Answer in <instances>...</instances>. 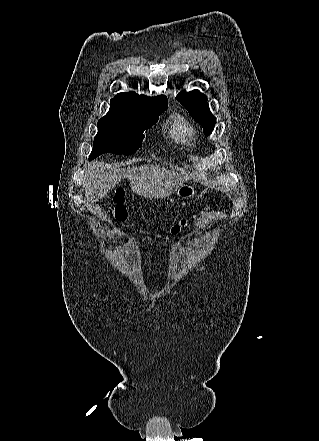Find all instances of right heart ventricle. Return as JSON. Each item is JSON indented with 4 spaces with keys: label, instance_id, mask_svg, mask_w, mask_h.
I'll return each mask as SVG.
<instances>
[{
    "label": "right heart ventricle",
    "instance_id": "right-heart-ventricle-1",
    "mask_svg": "<svg viewBox=\"0 0 319 441\" xmlns=\"http://www.w3.org/2000/svg\"><path fill=\"white\" fill-rule=\"evenodd\" d=\"M169 134L176 142L188 144L193 138L194 130L185 119L176 117L171 122Z\"/></svg>",
    "mask_w": 319,
    "mask_h": 441
}]
</instances>
